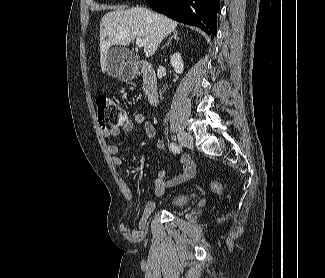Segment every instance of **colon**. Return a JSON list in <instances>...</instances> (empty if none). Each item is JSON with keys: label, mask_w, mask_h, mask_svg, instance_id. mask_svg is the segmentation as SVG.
I'll return each instance as SVG.
<instances>
[{"label": "colon", "mask_w": 325, "mask_h": 278, "mask_svg": "<svg viewBox=\"0 0 325 278\" xmlns=\"http://www.w3.org/2000/svg\"><path fill=\"white\" fill-rule=\"evenodd\" d=\"M99 126L102 130H113L120 127L127 120L126 110L106 96L96 100ZM214 189H219V182L213 183Z\"/></svg>", "instance_id": "5ec220e1"}]
</instances>
